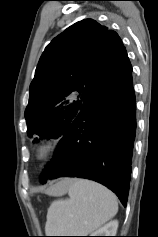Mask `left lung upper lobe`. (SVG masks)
Instances as JSON below:
<instances>
[{"label":"left lung upper lobe","instance_id":"1","mask_svg":"<svg viewBox=\"0 0 158 237\" xmlns=\"http://www.w3.org/2000/svg\"><path fill=\"white\" fill-rule=\"evenodd\" d=\"M132 70L115 31L93 19L79 21L45 48L29 89L28 135L62 138L79 111Z\"/></svg>","mask_w":158,"mask_h":237}]
</instances>
